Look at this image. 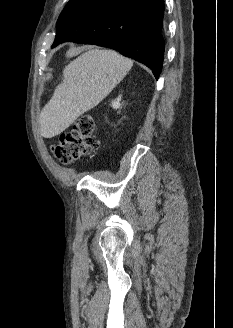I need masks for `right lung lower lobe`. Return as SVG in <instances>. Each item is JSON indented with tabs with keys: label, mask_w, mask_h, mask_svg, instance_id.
Returning a JSON list of instances; mask_svg holds the SVG:
<instances>
[{
	"label": "right lung lower lobe",
	"mask_w": 233,
	"mask_h": 328,
	"mask_svg": "<svg viewBox=\"0 0 233 328\" xmlns=\"http://www.w3.org/2000/svg\"><path fill=\"white\" fill-rule=\"evenodd\" d=\"M164 0H93L57 22L52 47L66 41L119 51L158 79L164 58Z\"/></svg>",
	"instance_id": "obj_1"
}]
</instances>
